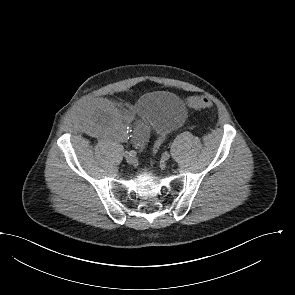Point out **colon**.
Here are the masks:
<instances>
[{
    "mask_svg": "<svg viewBox=\"0 0 295 295\" xmlns=\"http://www.w3.org/2000/svg\"><path fill=\"white\" fill-rule=\"evenodd\" d=\"M188 104L193 108H211L213 106L212 101L205 96L202 97H190Z\"/></svg>",
    "mask_w": 295,
    "mask_h": 295,
    "instance_id": "colon-1",
    "label": "colon"
}]
</instances>
